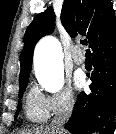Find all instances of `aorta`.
Here are the masks:
<instances>
[{
  "instance_id": "1",
  "label": "aorta",
  "mask_w": 116,
  "mask_h": 134,
  "mask_svg": "<svg viewBox=\"0 0 116 134\" xmlns=\"http://www.w3.org/2000/svg\"><path fill=\"white\" fill-rule=\"evenodd\" d=\"M34 68L39 83L49 92L64 86L63 54L60 42L53 36L42 38L34 52Z\"/></svg>"
}]
</instances>
